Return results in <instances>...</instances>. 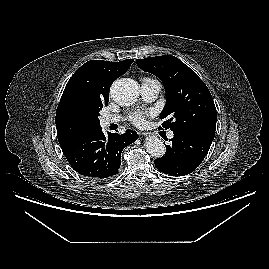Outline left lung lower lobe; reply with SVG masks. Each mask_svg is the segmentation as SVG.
<instances>
[{
  "label": "left lung lower lobe",
  "instance_id": "0a47b994",
  "mask_svg": "<svg viewBox=\"0 0 269 269\" xmlns=\"http://www.w3.org/2000/svg\"><path fill=\"white\" fill-rule=\"evenodd\" d=\"M174 133L172 145H166V153L155 159L156 168L170 176H184L193 172L207 155L215 132L198 130Z\"/></svg>",
  "mask_w": 269,
  "mask_h": 269
}]
</instances>
